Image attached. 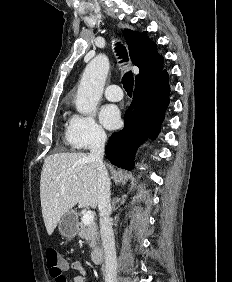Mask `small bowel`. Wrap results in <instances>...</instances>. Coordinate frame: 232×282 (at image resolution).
Masks as SVG:
<instances>
[{
	"mask_svg": "<svg viewBox=\"0 0 232 282\" xmlns=\"http://www.w3.org/2000/svg\"><path fill=\"white\" fill-rule=\"evenodd\" d=\"M64 270L73 269L78 272L77 275L73 276L72 282H88V271L85 265L80 261H74L71 264L64 261ZM55 282H67L66 277L62 275L61 277H53Z\"/></svg>",
	"mask_w": 232,
	"mask_h": 282,
	"instance_id": "obj_1",
	"label": "small bowel"
}]
</instances>
